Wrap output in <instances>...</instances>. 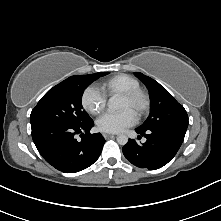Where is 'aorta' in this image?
Returning <instances> with one entry per match:
<instances>
[{
    "label": "aorta",
    "instance_id": "1",
    "mask_svg": "<svg viewBox=\"0 0 221 221\" xmlns=\"http://www.w3.org/2000/svg\"><path fill=\"white\" fill-rule=\"evenodd\" d=\"M119 108V101L115 97H111L108 101V111L113 112ZM117 142L120 145H126L128 142V137L124 134L117 136Z\"/></svg>",
    "mask_w": 221,
    "mask_h": 221
}]
</instances>
